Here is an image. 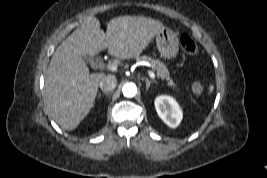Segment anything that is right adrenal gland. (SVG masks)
I'll return each mask as SVG.
<instances>
[{
  "mask_svg": "<svg viewBox=\"0 0 267 178\" xmlns=\"http://www.w3.org/2000/svg\"><path fill=\"white\" fill-rule=\"evenodd\" d=\"M103 94H105L107 96H110V93L109 92H103Z\"/></svg>",
  "mask_w": 267,
  "mask_h": 178,
  "instance_id": "obj_1",
  "label": "right adrenal gland"
}]
</instances>
